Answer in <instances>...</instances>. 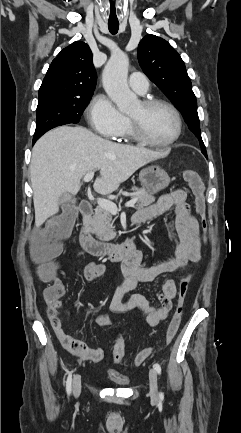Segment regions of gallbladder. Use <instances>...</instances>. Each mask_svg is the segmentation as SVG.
Returning a JSON list of instances; mask_svg holds the SVG:
<instances>
[{"mask_svg":"<svg viewBox=\"0 0 241 433\" xmlns=\"http://www.w3.org/2000/svg\"><path fill=\"white\" fill-rule=\"evenodd\" d=\"M59 201L62 203H67L72 201V195L68 192L63 193ZM65 211H68L72 214L73 218H75L78 214V208L74 204H66L63 206Z\"/></svg>","mask_w":241,"mask_h":433,"instance_id":"1","label":"gallbladder"}]
</instances>
